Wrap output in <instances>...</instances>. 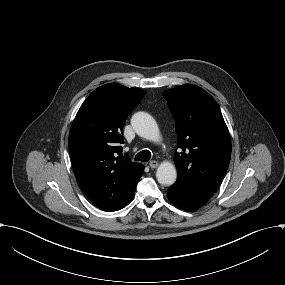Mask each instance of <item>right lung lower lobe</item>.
I'll use <instances>...</instances> for the list:
<instances>
[{"mask_svg": "<svg viewBox=\"0 0 285 285\" xmlns=\"http://www.w3.org/2000/svg\"><path fill=\"white\" fill-rule=\"evenodd\" d=\"M135 189H136V186H135V188L133 189V191H132V193L130 194V196L128 197V199H127V201L125 202V204H124L120 209L124 208L125 206H127V205L131 202V200L133 199L134 194H135Z\"/></svg>", "mask_w": 285, "mask_h": 285, "instance_id": "98d812e1", "label": "right lung lower lobe"}]
</instances>
